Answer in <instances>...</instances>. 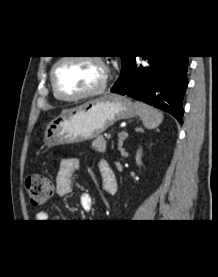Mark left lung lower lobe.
<instances>
[{
	"mask_svg": "<svg viewBox=\"0 0 218 277\" xmlns=\"http://www.w3.org/2000/svg\"><path fill=\"white\" fill-rule=\"evenodd\" d=\"M148 65H139L133 56L122 69L111 92L128 95L172 114L180 123L182 103L188 85V56H142Z\"/></svg>",
	"mask_w": 218,
	"mask_h": 277,
	"instance_id": "1",
	"label": "left lung lower lobe"
}]
</instances>
